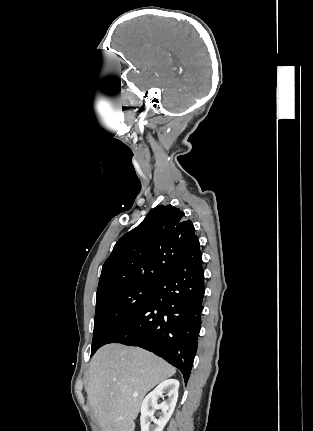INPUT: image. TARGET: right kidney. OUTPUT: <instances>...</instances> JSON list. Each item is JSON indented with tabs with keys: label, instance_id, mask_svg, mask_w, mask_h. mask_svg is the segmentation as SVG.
<instances>
[{
	"label": "right kidney",
	"instance_id": "1",
	"mask_svg": "<svg viewBox=\"0 0 313 431\" xmlns=\"http://www.w3.org/2000/svg\"><path fill=\"white\" fill-rule=\"evenodd\" d=\"M179 381L168 379L160 383L152 392H150L141 405V431H162L169 421L178 399ZM167 396L161 404L157 400L164 395ZM158 413V419L154 417L155 411ZM151 422L154 424L152 425Z\"/></svg>",
	"mask_w": 313,
	"mask_h": 431
}]
</instances>
